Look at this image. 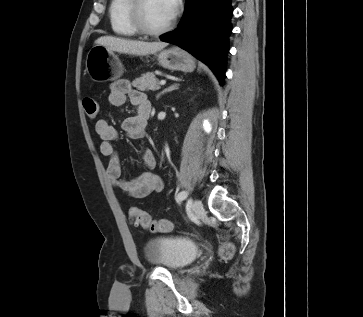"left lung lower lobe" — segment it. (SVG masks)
Masks as SVG:
<instances>
[{
	"label": "left lung lower lobe",
	"instance_id": "1",
	"mask_svg": "<svg viewBox=\"0 0 363 317\" xmlns=\"http://www.w3.org/2000/svg\"><path fill=\"white\" fill-rule=\"evenodd\" d=\"M231 0H186L178 28L160 36L187 50L207 64L221 85L225 74L228 37L231 33Z\"/></svg>",
	"mask_w": 363,
	"mask_h": 317
}]
</instances>
